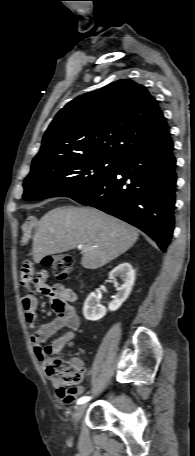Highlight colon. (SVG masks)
Listing matches in <instances>:
<instances>
[{"mask_svg":"<svg viewBox=\"0 0 195 456\" xmlns=\"http://www.w3.org/2000/svg\"><path fill=\"white\" fill-rule=\"evenodd\" d=\"M43 263L52 268L58 280L69 279L74 269V258L68 253H60L44 258ZM44 368L46 373L66 386L78 385L85 376V371L76 360L55 356L46 351Z\"/></svg>","mask_w":195,"mask_h":456,"instance_id":"obj_1","label":"colon"}]
</instances>
